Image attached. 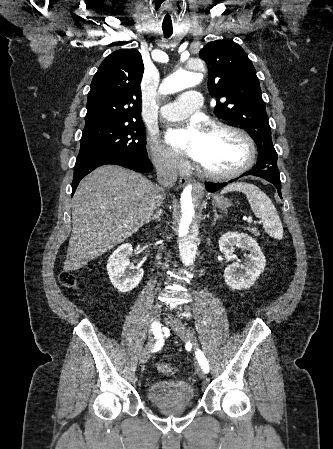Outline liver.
Listing matches in <instances>:
<instances>
[{
  "mask_svg": "<svg viewBox=\"0 0 333 449\" xmlns=\"http://www.w3.org/2000/svg\"><path fill=\"white\" fill-rule=\"evenodd\" d=\"M160 204L156 185L118 165L86 176L72 199L73 230L65 266L75 270L134 234Z\"/></svg>",
  "mask_w": 333,
  "mask_h": 449,
  "instance_id": "6515ba94",
  "label": "liver"
}]
</instances>
